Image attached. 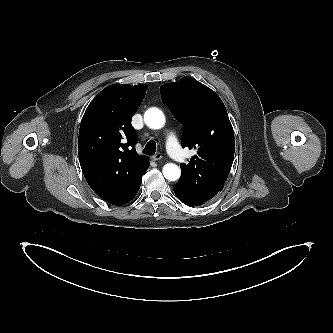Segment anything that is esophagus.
<instances>
[{
	"label": "esophagus",
	"mask_w": 333,
	"mask_h": 333,
	"mask_svg": "<svg viewBox=\"0 0 333 333\" xmlns=\"http://www.w3.org/2000/svg\"><path fill=\"white\" fill-rule=\"evenodd\" d=\"M153 161H159L162 159V155L160 153H156L155 155L151 156Z\"/></svg>",
	"instance_id": "obj_1"
}]
</instances>
